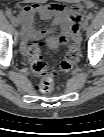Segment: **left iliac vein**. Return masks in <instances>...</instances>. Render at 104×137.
Listing matches in <instances>:
<instances>
[{
	"instance_id": "obj_1",
	"label": "left iliac vein",
	"mask_w": 104,
	"mask_h": 137,
	"mask_svg": "<svg viewBox=\"0 0 104 137\" xmlns=\"http://www.w3.org/2000/svg\"><path fill=\"white\" fill-rule=\"evenodd\" d=\"M81 28L83 31H85L88 28V19H84Z\"/></svg>"
}]
</instances>
